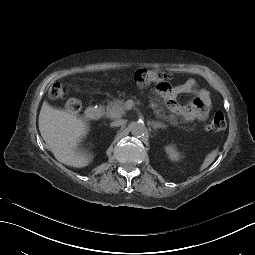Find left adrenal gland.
<instances>
[{
	"label": "left adrenal gland",
	"mask_w": 255,
	"mask_h": 255,
	"mask_svg": "<svg viewBox=\"0 0 255 255\" xmlns=\"http://www.w3.org/2000/svg\"><path fill=\"white\" fill-rule=\"evenodd\" d=\"M150 124L154 130H156L158 128H166V126L161 122L151 121Z\"/></svg>",
	"instance_id": "left-adrenal-gland-1"
}]
</instances>
